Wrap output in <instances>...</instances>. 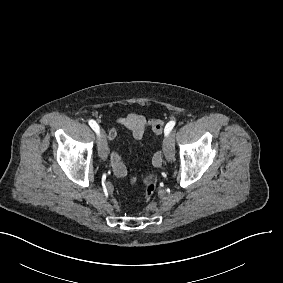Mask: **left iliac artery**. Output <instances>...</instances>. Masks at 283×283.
Segmentation results:
<instances>
[{
    "label": "left iliac artery",
    "mask_w": 283,
    "mask_h": 283,
    "mask_svg": "<svg viewBox=\"0 0 283 283\" xmlns=\"http://www.w3.org/2000/svg\"><path fill=\"white\" fill-rule=\"evenodd\" d=\"M174 126H175V121H170L169 123H167L164 129L165 136H167L171 132Z\"/></svg>",
    "instance_id": "1"
}]
</instances>
